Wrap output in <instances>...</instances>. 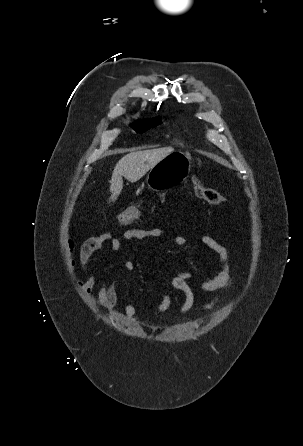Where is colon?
I'll list each match as a JSON object with an SVG mask.
<instances>
[{
	"mask_svg": "<svg viewBox=\"0 0 303 446\" xmlns=\"http://www.w3.org/2000/svg\"><path fill=\"white\" fill-rule=\"evenodd\" d=\"M191 184L195 196L211 205H220L225 200L223 196L214 188L205 186L197 177L191 178ZM143 211L141 204L129 207L120 212L116 217V224L118 226H125L137 219Z\"/></svg>",
	"mask_w": 303,
	"mask_h": 446,
	"instance_id": "obj_1",
	"label": "colon"
}]
</instances>
